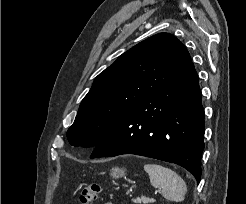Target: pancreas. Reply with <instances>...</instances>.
<instances>
[{
    "label": "pancreas",
    "instance_id": "obj_1",
    "mask_svg": "<svg viewBox=\"0 0 246 204\" xmlns=\"http://www.w3.org/2000/svg\"><path fill=\"white\" fill-rule=\"evenodd\" d=\"M132 201L134 202V203H137V204H139V203H141V202H143V203H149V202H151V199H149L148 197H145V196H141V197H138V198H136V199H132Z\"/></svg>",
    "mask_w": 246,
    "mask_h": 204
}]
</instances>
